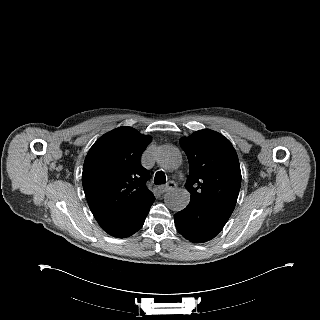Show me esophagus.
I'll return each instance as SVG.
<instances>
[{"instance_id":"obj_1","label":"esophagus","mask_w":320,"mask_h":320,"mask_svg":"<svg viewBox=\"0 0 320 320\" xmlns=\"http://www.w3.org/2000/svg\"><path fill=\"white\" fill-rule=\"evenodd\" d=\"M175 187H176L175 182L170 181L167 185L163 186L161 189H162L163 192H166V191H169V190H171V189H173Z\"/></svg>"}]
</instances>
